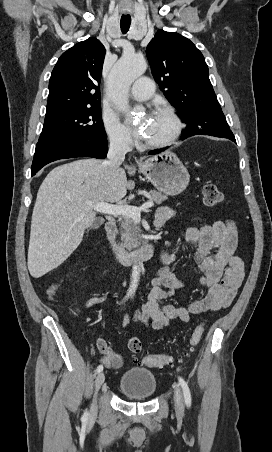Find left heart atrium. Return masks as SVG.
<instances>
[{
    "mask_svg": "<svg viewBox=\"0 0 272 452\" xmlns=\"http://www.w3.org/2000/svg\"><path fill=\"white\" fill-rule=\"evenodd\" d=\"M147 124L148 123L143 122L139 125L133 126L134 133L137 136H144L146 133Z\"/></svg>",
    "mask_w": 272,
    "mask_h": 452,
    "instance_id": "1",
    "label": "left heart atrium"
}]
</instances>
